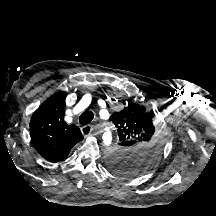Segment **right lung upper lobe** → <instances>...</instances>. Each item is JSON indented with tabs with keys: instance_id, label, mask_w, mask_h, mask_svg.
Instances as JSON below:
<instances>
[{
	"instance_id": "right-lung-upper-lobe-1",
	"label": "right lung upper lobe",
	"mask_w": 216,
	"mask_h": 216,
	"mask_svg": "<svg viewBox=\"0 0 216 216\" xmlns=\"http://www.w3.org/2000/svg\"><path fill=\"white\" fill-rule=\"evenodd\" d=\"M65 92L49 97L32 115L30 136L37 152L50 162L66 158L71 148L83 139L76 125L64 121Z\"/></svg>"
}]
</instances>
